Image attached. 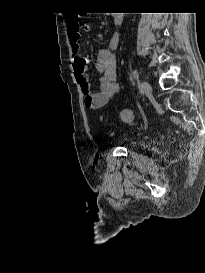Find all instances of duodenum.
Masks as SVG:
<instances>
[{
    "label": "duodenum",
    "instance_id": "1",
    "mask_svg": "<svg viewBox=\"0 0 205 273\" xmlns=\"http://www.w3.org/2000/svg\"><path fill=\"white\" fill-rule=\"evenodd\" d=\"M120 21H121L120 15L116 14V15L114 16V23H115V24H119Z\"/></svg>",
    "mask_w": 205,
    "mask_h": 273
}]
</instances>
